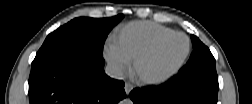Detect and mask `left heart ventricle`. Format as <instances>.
<instances>
[{
	"label": "left heart ventricle",
	"instance_id": "left-heart-ventricle-1",
	"mask_svg": "<svg viewBox=\"0 0 252 104\" xmlns=\"http://www.w3.org/2000/svg\"><path fill=\"white\" fill-rule=\"evenodd\" d=\"M187 41L183 36H175L166 43L162 50L150 55L140 62L138 71L141 74L154 73L167 65L177 62L184 54Z\"/></svg>",
	"mask_w": 252,
	"mask_h": 104
}]
</instances>
